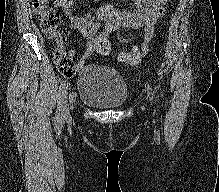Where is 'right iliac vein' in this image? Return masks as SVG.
<instances>
[{"label":"right iliac vein","instance_id":"right-iliac-vein-1","mask_svg":"<svg viewBox=\"0 0 219 192\" xmlns=\"http://www.w3.org/2000/svg\"><path fill=\"white\" fill-rule=\"evenodd\" d=\"M74 101H75L74 93H70L69 96H65V101L62 107V120H66L70 116L69 105L72 104Z\"/></svg>","mask_w":219,"mask_h":192}]
</instances>
